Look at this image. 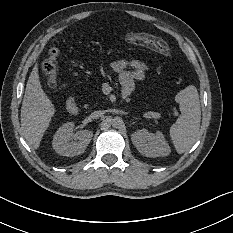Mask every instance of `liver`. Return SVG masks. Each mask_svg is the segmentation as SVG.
<instances>
[{"instance_id":"liver-1","label":"liver","mask_w":233,"mask_h":233,"mask_svg":"<svg viewBox=\"0 0 233 233\" xmlns=\"http://www.w3.org/2000/svg\"><path fill=\"white\" fill-rule=\"evenodd\" d=\"M38 66H34L27 81L21 107V127L28 143L35 148L48 125L54 109L44 94L38 75Z\"/></svg>"}]
</instances>
